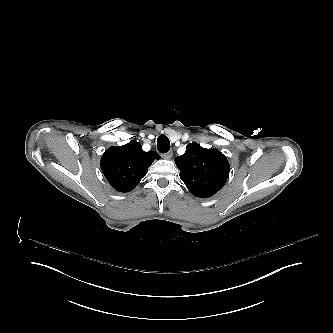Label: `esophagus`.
I'll list each match as a JSON object with an SVG mask.
<instances>
[{"instance_id": "obj_1", "label": "esophagus", "mask_w": 333, "mask_h": 333, "mask_svg": "<svg viewBox=\"0 0 333 333\" xmlns=\"http://www.w3.org/2000/svg\"><path fill=\"white\" fill-rule=\"evenodd\" d=\"M172 156H173V152L172 151H169V152H167V153H165V154L162 155V157L164 159H170Z\"/></svg>"}]
</instances>
